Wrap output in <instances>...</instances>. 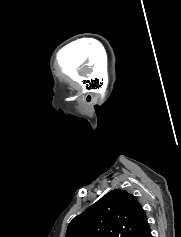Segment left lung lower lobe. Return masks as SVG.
<instances>
[{"mask_svg":"<svg viewBox=\"0 0 181 237\" xmlns=\"http://www.w3.org/2000/svg\"><path fill=\"white\" fill-rule=\"evenodd\" d=\"M139 237H152L150 227H147Z\"/></svg>","mask_w":181,"mask_h":237,"instance_id":"obj_1","label":"left lung lower lobe"}]
</instances>
